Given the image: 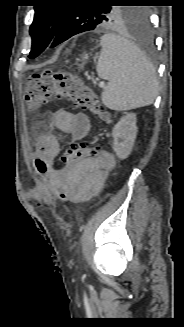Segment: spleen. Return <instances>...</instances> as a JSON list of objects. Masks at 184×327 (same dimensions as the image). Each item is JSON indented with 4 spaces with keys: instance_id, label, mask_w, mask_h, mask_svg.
<instances>
[{
    "instance_id": "3e777b00",
    "label": "spleen",
    "mask_w": 184,
    "mask_h": 327,
    "mask_svg": "<svg viewBox=\"0 0 184 327\" xmlns=\"http://www.w3.org/2000/svg\"><path fill=\"white\" fill-rule=\"evenodd\" d=\"M100 44L97 73L109 81L103 104L117 111L152 104L158 90L156 70L140 49L111 33L103 35Z\"/></svg>"
}]
</instances>
